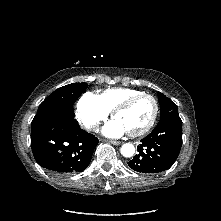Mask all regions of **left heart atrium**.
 Wrapping results in <instances>:
<instances>
[{"label": "left heart atrium", "mask_w": 221, "mask_h": 221, "mask_svg": "<svg viewBox=\"0 0 221 221\" xmlns=\"http://www.w3.org/2000/svg\"><path fill=\"white\" fill-rule=\"evenodd\" d=\"M102 131L108 137H120L128 132L125 126L117 119L107 123Z\"/></svg>", "instance_id": "left-heart-atrium-1"}]
</instances>
